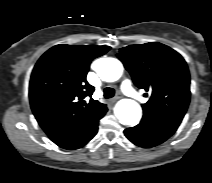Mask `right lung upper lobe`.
I'll return each instance as SVG.
<instances>
[{
	"label": "right lung upper lobe",
	"mask_w": 212,
	"mask_h": 183,
	"mask_svg": "<svg viewBox=\"0 0 212 183\" xmlns=\"http://www.w3.org/2000/svg\"><path fill=\"white\" fill-rule=\"evenodd\" d=\"M109 46L56 45L45 52L31 74L32 111L53 142L83 132L107 112L92 98L94 87L86 76L91 61Z\"/></svg>",
	"instance_id": "1"
}]
</instances>
